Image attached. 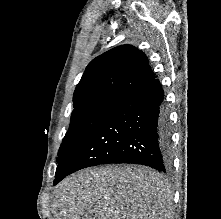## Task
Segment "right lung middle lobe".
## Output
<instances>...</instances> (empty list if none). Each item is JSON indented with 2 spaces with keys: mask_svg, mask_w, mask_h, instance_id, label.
Segmentation results:
<instances>
[{
  "mask_svg": "<svg viewBox=\"0 0 221 219\" xmlns=\"http://www.w3.org/2000/svg\"><path fill=\"white\" fill-rule=\"evenodd\" d=\"M120 102L118 99H99L74 106L69 130L58 151L57 163L81 145Z\"/></svg>",
  "mask_w": 221,
  "mask_h": 219,
  "instance_id": "dd1d6c3e",
  "label": "right lung middle lobe"
}]
</instances>
